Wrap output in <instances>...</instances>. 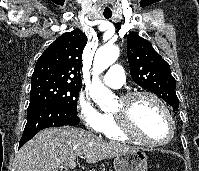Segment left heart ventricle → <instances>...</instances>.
I'll return each instance as SVG.
<instances>
[{
	"mask_svg": "<svg viewBox=\"0 0 199 171\" xmlns=\"http://www.w3.org/2000/svg\"><path fill=\"white\" fill-rule=\"evenodd\" d=\"M120 108V102L114 111ZM134 126L143 136L154 141H165L170 135V125L163 109L148 97H139L131 105Z\"/></svg>",
	"mask_w": 199,
	"mask_h": 171,
	"instance_id": "obj_1",
	"label": "left heart ventricle"
}]
</instances>
